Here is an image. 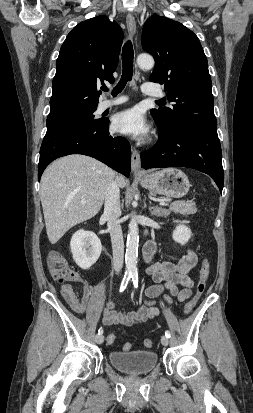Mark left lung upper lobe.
<instances>
[{
	"label": "left lung upper lobe",
	"mask_w": 253,
	"mask_h": 413,
	"mask_svg": "<svg viewBox=\"0 0 253 413\" xmlns=\"http://www.w3.org/2000/svg\"><path fill=\"white\" fill-rule=\"evenodd\" d=\"M142 46L155 58L150 81L165 84L173 108L152 109L161 137L194 125L217 130L208 62L198 37L184 25L152 15L144 27Z\"/></svg>",
	"instance_id": "1"
}]
</instances>
